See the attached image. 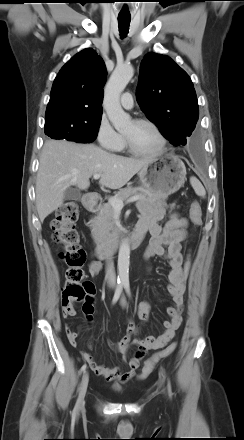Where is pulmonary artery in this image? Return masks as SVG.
<instances>
[{
    "mask_svg": "<svg viewBox=\"0 0 244 440\" xmlns=\"http://www.w3.org/2000/svg\"><path fill=\"white\" fill-rule=\"evenodd\" d=\"M121 105L125 109H131L133 107V96L130 92L123 93L121 97Z\"/></svg>",
    "mask_w": 244,
    "mask_h": 440,
    "instance_id": "e3ab8cb5",
    "label": "pulmonary artery"
}]
</instances>
